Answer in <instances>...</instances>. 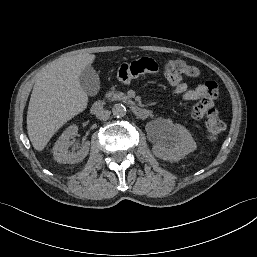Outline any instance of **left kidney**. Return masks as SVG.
<instances>
[{
	"label": "left kidney",
	"mask_w": 257,
	"mask_h": 257,
	"mask_svg": "<svg viewBox=\"0 0 257 257\" xmlns=\"http://www.w3.org/2000/svg\"><path fill=\"white\" fill-rule=\"evenodd\" d=\"M196 148V142L184 126L167 122L157 136L152 150L160 159L177 161Z\"/></svg>",
	"instance_id": "left-kidney-1"
}]
</instances>
